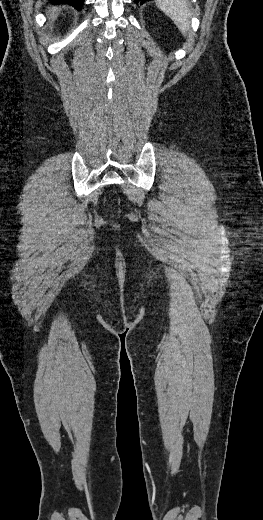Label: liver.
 Instances as JSON below:
<instances>
[{"mask_svg": "<svg viewBox=\"0 0 263 520\" xmlns=\"http://www.w3.org/2000/svg\"><path fill=\"white\" fill-rule=\"evenodd\" d=\"M58 11V7L48 8L47 14L49 15V20L54 21L57 18Z\"/></svg>", "mask_w": 263, "mask_h": 520, "instance_id": "obj_1", "label": "liver"}]
</instances>
